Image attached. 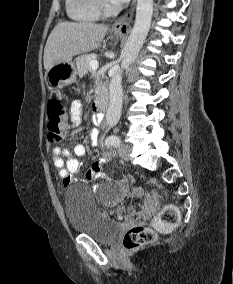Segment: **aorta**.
Listing matches in <instances>:
<instances>
[{"instance_id":"762f6f07","label":"aorta","mask_w":233,"mask_h":284,"mask_svg":"<svg viewBox=\"0 0 233 284\" xmlns=\"http://www.w3.org/2000/svg\"><path fill=\"white\" fill-rule=\"evenodd\" d=\"M152 14L153 0H137L135 23L122 52L121 67L110 80V103L106 113L108 126H115L121 117L123 104L122 73L132 64L142 48L150 29Z\"/></svg>"}]
</instances>
